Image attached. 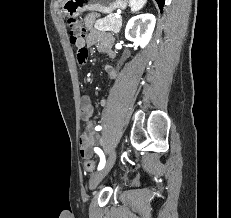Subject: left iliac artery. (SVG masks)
Returning a JSON list of instances; mask_svg holds the SVG:
<instances>
[{"label":"left iliac artery","instance_id":"left-iliac-artery-1","mask_svg":"<svg viewBox=\"0 0 231 218\" xmlns=\"http://www.w3.org/2000/svg\"><path fill=\"white\" fill-rule=\"evenodd\" d=\"M101 129H102L101 126H96V127H95V130H96V131H100ZM94 151H95V152L99 155V157H100V163H99V165H98V170H101V169L105 166V156H104L102 150H101L100 148H98V147H95V148H94Z\"/></svg>","mask_w":231,"mask_h":218}]
</instances>
